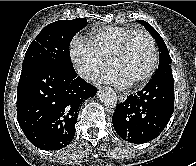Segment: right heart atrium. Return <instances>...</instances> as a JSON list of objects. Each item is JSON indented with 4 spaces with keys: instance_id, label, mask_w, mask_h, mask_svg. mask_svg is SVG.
<instances>
[{
    "instance_id": "obj_1",
    "label": "right heart atrium",
    "mask_w": 196,
    "mask_h": 166,
    "mask_svg": "<svg viewBox=\"0 0 196 166\" xmlns=\"http://www.w3.org/2000/svg\"><path fill=\"white\" fill-rule=\"evenodd\" d=\"M70 59L76 71L85 79L109 66L110 61L101 55L88 39L76 36L70 46Z\"/></svg>"
}]
</instances>
